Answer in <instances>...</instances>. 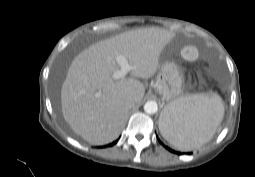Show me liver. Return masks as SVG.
<instances>
[{
    "label": "liver",
    "mask_w": 255,
    "mask_h": 177,
    "mask_svg": "<svg viewBox=\"0 0 255 177\" xmlns=\"http://www.w3.org/2000/svg\"><path fill=\"white\" fill-rule=\"evenodd\" d=\"M174 33L162 28H144L119 34L91 45L70 65L61 89V107L72 130L92 145L118 138L129 113L127 99L139 104L144 85L160 68V56ZM123 55L133 67L131 77L114 79L120 69L116 57ZM168 119L166 111L161 120Z\"/></svg>",
    "instance_id": "obj_1"
}]
</instances>
